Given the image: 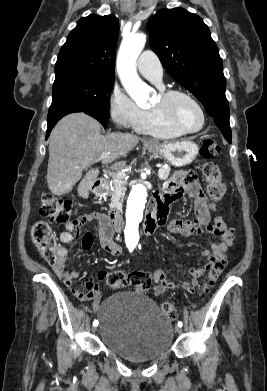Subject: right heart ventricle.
Here are the masks:
<instances>
[{
    "label": "right heart ventricle",
    "instance_id": "e07e8e85",
    "mask_svg": "<svg viewBox=\"0 0 267 391\" xmlns=\"http://www.w3.org/2000/svg\"><path fill=\"white\" fill-rule=\"evenodd\" d=\"M136 131L162 139L176 138L181 135L180 132L161 122L156 117L153 109L145 111V117L136 128Z\"/></svg>",
    "mask_w": 267,
    "mask_h": 391
}]
</instances>
